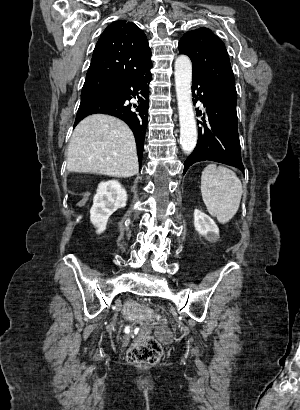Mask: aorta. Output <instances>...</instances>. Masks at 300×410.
I'll return each mask as SVG.
<instances>
[{
	"mask_svg": "<svg viewBox=\"0 0 300 410\" xmlns=\"http://www.w3.org/2000/svg\"><path fill=\"white\" fill-rule=\"evenodd\" d=\"M192 64L186 55L175 60V87L180 122V144L185 153H191L197 143V128L192 95Z\"/></svg>",
	"mask_w": 300,
	"mask_h": 410,
	"instance_id": "762f6f07",
	"label": "aorta"
}]
</instances>
